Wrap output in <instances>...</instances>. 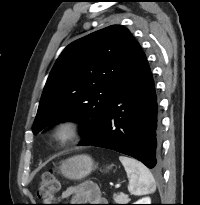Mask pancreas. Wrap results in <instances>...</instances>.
Returning a JSON list of instances; mask_svg holds the SVG:
<instances>
[{"instance_id": "pancreas-1", "label": "pancreas", "mask_w": 200, "mask_h": 205, "mask_svg": "<svg viewBox=\"0 0 200 205\" xmlns=\"http://www.w3.org/2000/svg\"><path fill=\"white\" fill-rule=\"evenodd\" d=\"M114 201L118 204H125L129 201L128 195L124 193L114 194Z\"/></svg>"}]
</instances>
